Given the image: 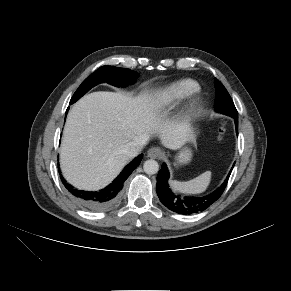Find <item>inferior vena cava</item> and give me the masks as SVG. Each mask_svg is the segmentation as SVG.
<instances>
[{"label":"inferior vena cava","instance_id":"1","mask_svg":"<svg viewBox=\"0 0 291 291\" xmlns=\"http://www.w3.org/2000/svg\"><path fill=\"white\" fill-rule=\"evenodd\" d=\"M147 139L142 138L136 141H131L124 146L123 152L129 158H133L139 154Z\"/></svg>","mask_w":291,"mask_h":291}]
</instances>
